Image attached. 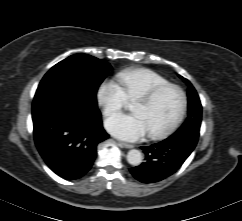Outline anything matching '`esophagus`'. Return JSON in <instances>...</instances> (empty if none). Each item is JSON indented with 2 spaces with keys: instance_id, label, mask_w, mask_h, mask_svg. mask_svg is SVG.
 I'll list each match as a JSON object with an SVG mask.
<instances>
[{
  "instance_id": "1",
  "label": "esophagus",
  "mask_w": 242,
  "mask_h": 221,
  "mask_svg": "<svg viewBox=\"0 0 242 221\" xmlns=\"http://www.w3.org/2000/svg\"><path fill=\"white\" fill-rule=\"evenodd\" d=\"M119 144L124 147V148H127V149H132L134 147V145L132 144H129V143H126V142H119Z\"/></svg>"
}]
</instances>
